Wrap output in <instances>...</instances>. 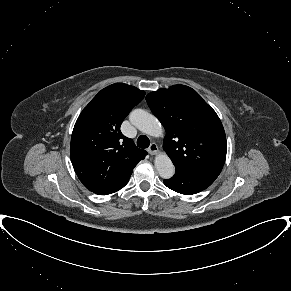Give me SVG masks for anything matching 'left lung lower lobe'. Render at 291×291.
<instances>
[{"label":"left lung lower lobe","mask_w":291,"mask_h":291,"mask_svg":"<svg viewBox=\"0 0 291 291\" xmlns=\"http://www.w3.org/2000/svg\"><path fill=\"white\" fill-rule=\"evenodd\" d=\"M216 178L217 175L176 168L175 175L171 179L164 180V184L175 192L191 195L209 187Z\"/></svg>","instance_id":"0a47b994"}]
</instances>
